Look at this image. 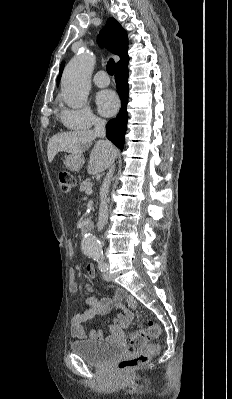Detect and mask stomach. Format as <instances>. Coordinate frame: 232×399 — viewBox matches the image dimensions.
<instances>
[{"label":"stomach","instance_id":"1","mask_svg":"<svg viewBox=\"0 0 232 399\" xmlns=\"http://www.w3.org/2000/svg\"><path fill=\"white\" fill-rule=\"evenodd\" d=\"M84 162L85 158L82 154H70V156H67V158L63 160L65 168L71 170V172H78V170H81Z\"/></svg>","mask_w":232,"mask_h":399}]
</instances>
